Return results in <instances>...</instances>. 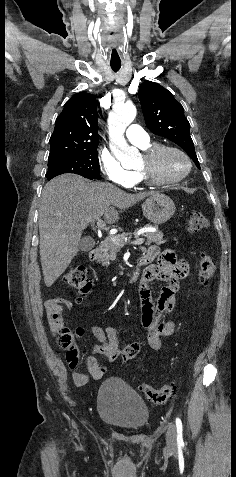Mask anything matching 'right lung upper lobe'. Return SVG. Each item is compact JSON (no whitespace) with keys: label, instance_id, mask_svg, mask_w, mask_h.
<instances>
[{"label":"right lung upper lobe","instance_id":"right-lung-upper-lobe-1","mask_svg":"<svg viewBox=\"0 0 236 477\" xmlns=\"http://www.w3.org/2000/svg\"><path fill=\"white\" fill-rule=\"evenodd\" d=\"M97 107L94 95L80 92L66 102L50 138L48 160L71 155L99 144Z\"/></svg>","mask_w":236,"mask_h":477}]
</instances>
